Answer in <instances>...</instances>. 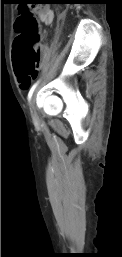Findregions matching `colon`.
Returning a JSON list of instances; mask_svg holds the SVG:
<instances>
[{
    "mask_svg": "<svg viewBox=\"0 0 122 257\" xmlns=\"http://www.w3.org/2000/svg\"><path fill=\"white\" fill-rule=\"evenodd\" d=\"M35 9V5H15V10L20 11L15 22L13 62L17 75L25 79L31 78L41 61L38 24L28 11Z\"/></svg>",
    "mask_w": 122,
    "mask_h": 257,
    "instance_id": "obj_1",
    "label": "colon"
}]
</instances>
